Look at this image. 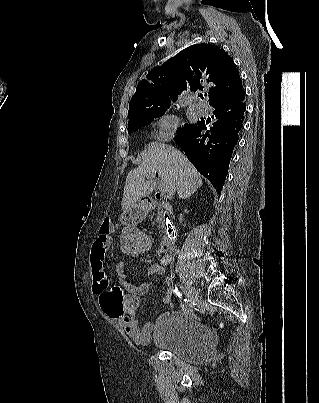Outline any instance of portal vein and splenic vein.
Here are the masks:
<instances>
[{
    "label": "portal vein and splenic vein",
    "mask_w": 319,
    "mask_h": 403,
    "mask_svg": "<svg viewBox=\"0 0 319 403\" xmlns=\"http://www.w3.org/2000/svg\"><path fill=\"white\" fill-rule=\"evenodd\" d=\"M147 178H149V177H147ZM158 189H159V191L161 193H166L167 192V186L165 185V183L162 180H159V182H158Z\"/></svg>",
    "instance_id": "portal-vein-and-splenic-vein-1"
}]
</instances>
